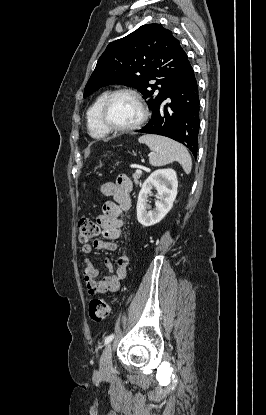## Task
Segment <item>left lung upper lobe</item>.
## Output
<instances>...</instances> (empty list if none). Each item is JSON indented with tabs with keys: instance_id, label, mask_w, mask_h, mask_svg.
<instances>
[{
	"instance_id": "1",
	"label": "left lung upper lobe",
	"mask_w": 266,
	"mask_h": 415,
	"mask_svg": "<svg viewBox=\"0 0 266 415\" xmlns=\"http://www.w3.org/2000/svg\"><path fill=\"white\" fill-rule=\"evenodd\" d=\"M187 62L185 51L170 30L159 24L143 25L107 46L86 84L84 97L103 86L124 84L142 93L153 114Z\"/></svg>"
}]
</instances>
